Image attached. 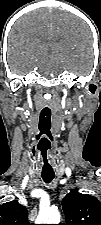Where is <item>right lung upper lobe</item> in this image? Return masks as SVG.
<instances>
[{
  "label": "right lung upper lobe",
  "instance_id": "1",
  "mask_svg": "<svg viewBox=\"0 0 101 225\" xmlns=\"http://www.w3.org/2000/svg\"><path fill=\"white\" fill-rule=\"evenodd\" d=\"M0 225H31L28 211L17 201H10L0 206Z\"/></svg>",
  "mask_w": 101,
  "mask_h": 225
}]
</instances>
